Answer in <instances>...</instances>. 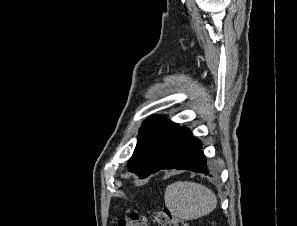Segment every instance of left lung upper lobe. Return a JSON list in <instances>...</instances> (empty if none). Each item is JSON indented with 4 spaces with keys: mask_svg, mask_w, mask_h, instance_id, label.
I'll use <instances>...</instances> for the list:
<instances>
[{
    "mask_svg": "<svg viewBox=\"0 0 297 226\" xmlns=\"http://www.w3.org/2000/svg\"><path fill=\"white\" fill-rule=\"evenodd\" d=\"M181 127L163 117H151L140 128L136 148L127 167L140 178L150 173Z\"/></svg>",
    "mask_w": 297,
    "mask_h": 226,
    "instance_id": "obj_1",
    "label": "left lung upper lobe"
}]
</instances>
